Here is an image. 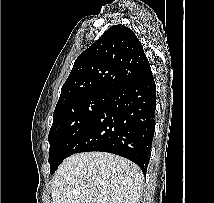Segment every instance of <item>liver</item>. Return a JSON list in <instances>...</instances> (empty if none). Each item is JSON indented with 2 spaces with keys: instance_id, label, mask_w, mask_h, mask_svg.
Masks as SVG:
<instances>
[{
  "instance_id": "6515ba94",
  "label": "liver",
  "mask_w": 214,
  "mask_h": 203,
  "mask_svg": "<svg viewBox=\"0 0 214 203\" xmlns=\"http://www.w3.org/2000/svg\"><path fill=\"white\" fill-rule=\"evenodd\" d=\"M143 182L142 171L131 161L106 152H83L61 163L51 194L53 203H137Z\"/></svg>"
}]
</instances>
